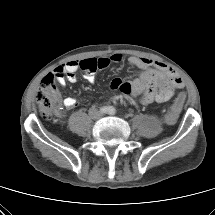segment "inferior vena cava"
Wrapping results in <instances>:
<instances>
[{"label":"inferior vena cava","mask_w":215,"mask_h":215,"mask_svg":"<svg viewBox=\"0 0 215 215\" xmlns=\"http://www.w3.org/2000/svg\"><path fill=\"white\" fill-rule=\"evenodd\" d=\"M89 114L93 119L99 118L101 116V113L95 108H91L89 110Z\"/></svg>","instance_id":"602c4592"}]
</instances>
